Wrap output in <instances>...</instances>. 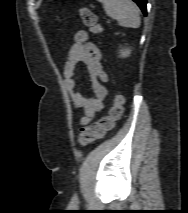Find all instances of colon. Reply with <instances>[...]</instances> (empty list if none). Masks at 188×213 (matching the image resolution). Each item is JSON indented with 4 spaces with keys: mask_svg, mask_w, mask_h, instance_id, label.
<instances>
[{
    "mask_svg": "<svg viewBox=\"0 0 188 213\" xmlns=\"http://www.w3.org/2000/svg\"><path fill=\"white\" fill-rule=\"evenodd\" d=\"M79 16L84 25L89 27L91 31L95 33L101 31L98 18L91 9L81 7L79 9ZM123 105L124 97L120 92H117L113 97L112 105L108 113L96 122L82 127L78 134V141L81 144H87L104 137L105 134L113 128L114 123L121 117Z\"/></svg>",
    "mask_w": 188,
    "mask_h": 213,
    "instance_id": "1",
    "label": "colon"
}]
</instances>
